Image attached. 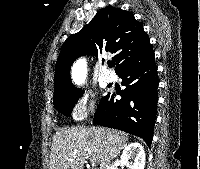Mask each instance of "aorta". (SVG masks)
Instances as JSON below:
<instances>
[{"instance_id":"aorta-1","label":"aorta","mask_w":200,"mask_h":169,"mask_svg":"<svg viewBox=\"0 0 200 169\" xmlns=\"http://www.w3.org/2000/svg\"><path fill=\"white\" fill-rule=\"evenodd\" d=\"M86 75V63L84 60L77 61L72 68V77L75 83H82Z\"/></svg>"}]
</instances>
